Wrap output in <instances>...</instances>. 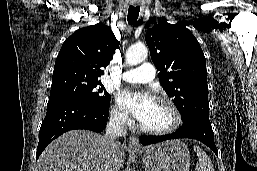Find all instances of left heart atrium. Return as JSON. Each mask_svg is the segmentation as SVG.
Masks as SVG:
<instances>
[{"mask_svg": "<svg viewBox=\"0 0 257 171\" xmlns=\"http://www.w3.org/2000/svg\"><path fill=\"white\" fill-rule=\"evenodd\" d=\"M118 102L140 122L155 104V100L150 94L129 91L122 92L118 97Z\"/></svg>", "mask_w": 257, "mask_h": 171, "instance_id": "left-heart-atrium-1", "label": "left heart atrium"}]
</instances>
